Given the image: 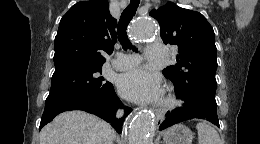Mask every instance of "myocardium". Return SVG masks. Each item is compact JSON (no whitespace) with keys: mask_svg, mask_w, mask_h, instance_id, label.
<instances>
[{"mask_svg":"<svg viewBox=\"0 0 260 144\" xmlns=\"http://www.w3.org/2000/svg\"><path fill=\"white\" fill-rule=\"evenodd\" d=\"M177 105L176 98L172 93L166 94V96L162 99L160 106L163 109H173Z\"/></svg>","mask_w":260,"mask_h":144,"instance_id":"myocardium-1","label":"myocardium"}]
</instances>
